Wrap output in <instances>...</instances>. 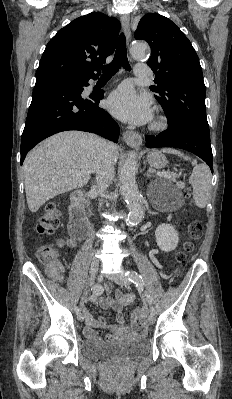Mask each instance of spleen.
I'll list each match as a JSON object with an SVG mask.
<instances>
[{
	"label": "spleen",
	"instance_id": "1",
	"mask_svg": "<svg viewBox=\"0 0 232 399\" xmlns=\"http://www.w3.org/2000/svg\"><path fill=\"white\" fill-rule=\"evenodd\" d=\"M161 152H163V154H175V156H179V158H183V160H191L188 156H184L182 152L171 150V148H163ZM189 184H191L193 188V200L197 207H206L211 190V172L206 164L195 166L189 178Z\"/></svg>",
	"mask_w": 232,
	"mask_h": 399
}]
</instances>
